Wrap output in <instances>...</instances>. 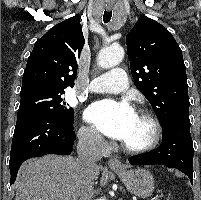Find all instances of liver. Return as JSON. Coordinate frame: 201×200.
<instances>
[{
  "instance_id": "liver-1",
  "label": "liver",
  "mask_w": 201,
  "mask_h": 200,
  "mask_svg": "<svg viewBox=\"0 0 201 200\" xmlns=\"http://www.w3.org/2000/svg\"><path fill=\"white\" fill-rule=\"evenodd\" d=\"M100 174L94 171V179ZM15 200H78V172L72 157L46 155L26 161L16 184Z\"/></svg>"
}]
</instances>
